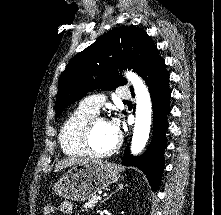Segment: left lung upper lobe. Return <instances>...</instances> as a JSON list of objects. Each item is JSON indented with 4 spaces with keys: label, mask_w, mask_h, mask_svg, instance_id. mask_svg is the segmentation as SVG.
<instances>
[{
    "label": "left lung upper lobe",
    "mask_w": 221,
    "mask_h": 215,
    "mask_svg": "<svg viewBox=\"0 0 221 215\" xmlns=\"http://www.w3.org/2000/svg\"><path fill=\"white\" fill-rule=\"evenodd\" d=\"M161 59L152 39L138 27L126 26L103 34L75 55L61 74L55 118L93 88L111 90L127 84V80L118 75V68L133 69L143 77ZM95 74L100 80L93 83L91 77Z\"/></svg>",
    "instance_id": "1"
}]
</instances>
